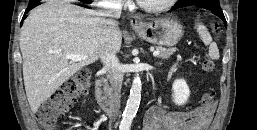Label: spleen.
<instances>
[{
	"label": "spleen",
	"mask_w": 257,
	"mask_h": 130,
	"mask_svg": "<svg viewBox=\"0 0 257 130\" xmlns=\"http://www.w3.org/2000/svg\"><path fill=\"white\" fill-rule=\"evenodd\" d=\"M197 32L199 33V36L202 39L203 43L206 46H209V56L211 57V59L218 60L220 56L217 44L212 41V37L206 26H204L203 24H198Z\"/></svg>",
	"instance_id": "1"
}]
</instances>
